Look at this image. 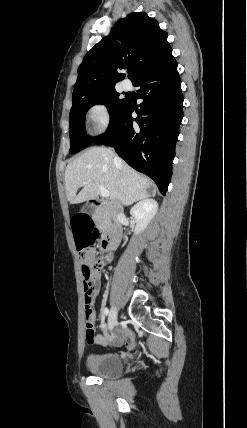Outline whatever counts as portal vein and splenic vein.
<instances>
[{"mask_svg": "<svg viewBox=\"0 0 247 428\" xmlns=\"http://www.w3.org/2000/svg\"><path fill=\"white\" fill-rule=\"evenodd\" d=\"M99 191L102 197H109V191L103 186L99 185Z\"/></svg>", "mask_w": 247, "mask_h": 428, "instance_id": "obj_1", "label": "portal vein and splenic vein"}]
</instances>
